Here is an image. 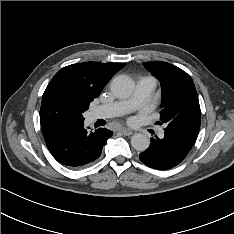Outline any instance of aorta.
I'll return each instance as SVG.
<instances>
[{"label": "aorta", "instance_id": "1", "mask_svg": "<svg viewBox=\"0 0 234 234\" xmlns=\"http://www.w3.org/2000/svg\"><path fill=\"white\" fill-rule=\"evenodd\" d=\"M111 91L117 98H127L134 91V82L128 76H117L111 82ZM131 145L137 151H145L150 145V140L146 135L136 133L131 137Z\"/></svg>", "mask_w": 234, "mask_h": 234}]
</instances>
